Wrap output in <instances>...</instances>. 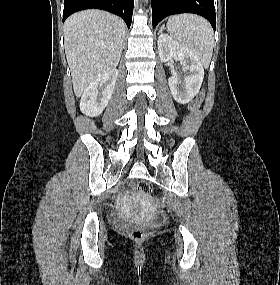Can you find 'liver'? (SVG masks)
<instances>
[{"mask_svg": "<svg viewBox=\"0 0 280 285\" xmlns=\"http://www.w3.org/2000/svg\"><path fill=\"white\" fill-rule=\"evenodd\" d=\"M64 38L74 93L80 97L90 83L118 65L125 24L108 12L85 10L65 21Z\"/></svg>", "mask_w": 280, "mask_h": 285, "instance_id": "1", "label": "liver"}]
</instances>
